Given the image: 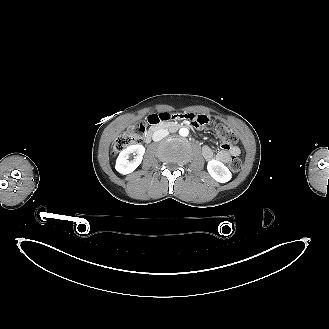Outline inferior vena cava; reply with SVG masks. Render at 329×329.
<instances>
[{
    "label": "inferior vena cava",
    "mask_w": 329,
    "mask_h": 329,
    "mask_svg": "<svg viewBox=\"0 0 329 329\" xmlns=\"http://www.w3.org/2000/svg\"><path fill=\"white\" fill-rule=\"evenodd\" d=\"M169 132L166 129H158L153 133L152 139L157 142L168 136Z\"/></svg>",
    "instance_id": "inferior-vena-cava-1"
}]
</instances>
